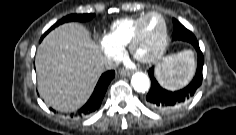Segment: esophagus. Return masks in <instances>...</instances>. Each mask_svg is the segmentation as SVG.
Listing matches in <instances>:
<instances>
[{
  "mask_svg": "<svg viewBox=\"0 0 236 135\" xmlns=\"http://www.w3.org/2000/svg\"><path fill=\"white\" fill-rule=\"evenodd\" d=\"M133 70H126V69H123L121 70V74L124 75V76H130L131 74H133Z\"/></svg>",
  "mask_w": 236,
  "mask_h": 135,
  "instance_id": "1",
  "label": "esophagus"
}]
</instances>
